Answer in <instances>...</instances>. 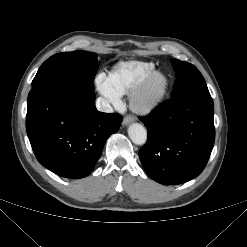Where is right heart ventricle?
Instances as JSON below:
<instances>
[{
    "mask_svg": "<svg viewBox=\"0 0 247 247\" xmlns=\"http://www.w3.org/2000/svg\"><path fill=\"white\" fill-rule=\"evenodd\" d=\"M155 70V65L150 62L124 61L113 67L108 79L117 94L126 95L137 89Z\"/></svg>",
    "mask_w": 247,
    "mask_h": 247,
    "instance_id": "e07e8e85",
    "label": "right heart ventricle"
}]
</instances>
